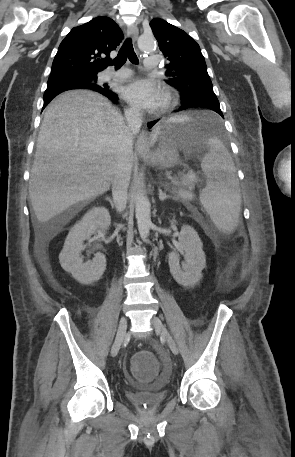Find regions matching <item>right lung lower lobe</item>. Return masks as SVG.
Listing matches in <instances>:
<instances>
[{
    "label": "right lung lower lobe",
    "mask_w": 295,
    "mask_h": 457,
    "mask_svg": "<svg viewBox=\"0 0 295 457\" xmlns=\"http://www.w3.org/2000/svg\"><path fill=\"white\" fill-rule=\"evenodd\" d=\"M77 88H86L90 90L97 91L113 102H117L118 96L109 90L108 86L106 87H96V86H85L83 83L78 81H53L48 82L47 89H60V90H69ZM54 98V97H53ZM52 98H44V107L50 102Z\"/></svg>",
    "instance_id": "98d812e1"
}]
</instances>
